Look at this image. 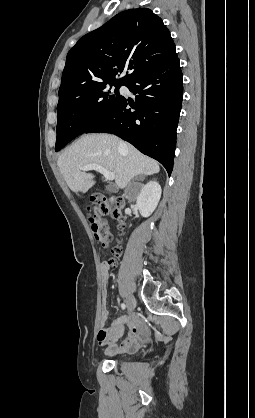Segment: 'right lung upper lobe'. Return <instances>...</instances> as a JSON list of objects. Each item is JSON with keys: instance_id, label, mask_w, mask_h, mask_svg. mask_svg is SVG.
Wrapping results in <instances>:
<instances>
[{"instance_id": "right-lung-upper-lobe-1", "label": "right lung upper lobe", "mask_w": 255, "mask_h": 418, "mask_svg": "<svg viewBox=\"0 0 255 418\" xmlns=\"http://www.w3.org/2000/svg\"><path fill=\"white\" fill-rule=\"evenodd\" d=\"M175 57V44L160 17L148 8L126 10L84 35L71 48L59 94L96 83L126 84ZM125 67L130 74L116 79Z\"/></svg>"}]
</instances>
